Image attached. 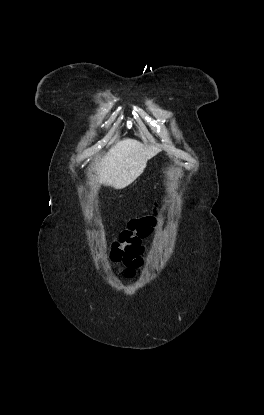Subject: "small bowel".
<instances>
[{
    "label": "small bowel",
    "instance_id": "1",
    "mask_svg": "<svg viewBox=\"0 0 264 415\" xmlns=\"http://www.w3.org/2000/svg\"><path fill=\"white\" fill-rule=\"evenodd\" d=\"M144 252L143 251H135L134 256L131 259V262L126 265L125 268V275L127 277H131L133 275V270L137 266L141 265L144 262Z\"/></svg>",
    "mask_w": 264,
    "mask_h": 415
}]
</instances>
